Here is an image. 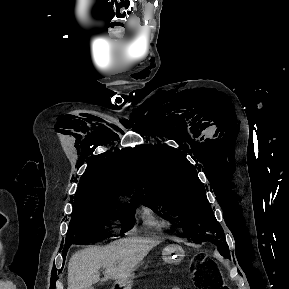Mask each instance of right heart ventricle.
<instances>
[{"label":"right heart ventricle","mask_w":289,"mask_h":289,"mask_svg":"<svg viewBox=\"0 0 289 289\" xmlns=\"http://www.w3.org/2000/svg\"><path fill=\"white\" fill-rule=\"evenodd\" d=\"M140 218L142 220V225L150 230L164 231L171 228V223L157 215L152 209L146 207L140 211Z\"/></svg>","instance_id":"e07e8e85"}]
</instances>
